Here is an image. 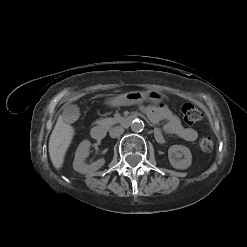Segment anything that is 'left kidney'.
Here are the masks:
<instances>
[{"label": "left kidney", "instance_id": "1", "mask_svg": "<svg viewBox=\"0 0 247 247\" xmlns=\"http://www.w3.org/2000/svg\"><path fill=\"white\" fill-rule=\"evenodd\" d=\"M182 156H184V158L180 159ZM168 158L171 166L175 169L184 170L192 164L191 151L183 145L170 146L168 149Z\"/></svg>", "mask_w": 247, "mask_h": 247}]
</instances>
